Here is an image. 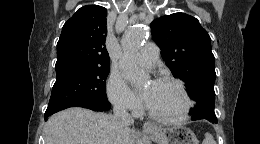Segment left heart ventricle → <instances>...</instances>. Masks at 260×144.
Listing matches in <instances>:
<instances>
[{
  "instance_id": "obj_1",
  "label": "left heart ventricle",
  "mask_w": 260,
  "mask_h": 144,
  "mask_svg": "<svg viewBox=\"0 0 260 144\" xmlns=\"http://www.w3.org/2000/svg\"><path fill=\"white\" fill-rule=\"evenodd\" d=\"M145 90L150 93L147 105L153 112L166 117H177L183 112L185 100L173 84L149 82Z\"/></svg>"
}]
</instances>
